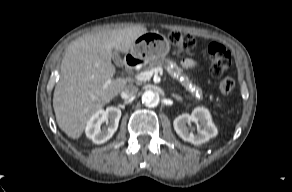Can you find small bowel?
<instances>
[{"mask_svg": "<svg viewBox=\"0 0 292 192\" xmlns=\"http://www.w3.org/2000/svg\"><path fill=\"white\" fill-rule=\"evenodd\" d=\"M182 65L185 69H194L196 67V63L192 59L183 60Z\"/></svg>", "mask_w": 292, "mask_h": 192, "instance_id": "small-bowel-1", "label": "small bowel"}]
</instances>
